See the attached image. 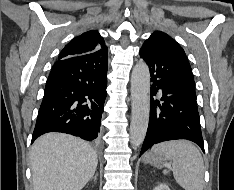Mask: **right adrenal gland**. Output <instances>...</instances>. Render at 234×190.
I'll return each mask as SVG.
<instances>
[{
	"instance_id": "obj_1",
	"label": "right adrenal gland",
	"mask_w": 234,
	"mask_h": 190,
	"mask_svg": "<svg viewBox=\"0 0 234 190\" xmlns=\"http://www.w3.org/2000/svg\"><path fill=\"white\" fill-rule=\"evenodd\" d=\"M94 182H96L97 174L92 178Z\"/></svg>"
}]
</instances>
